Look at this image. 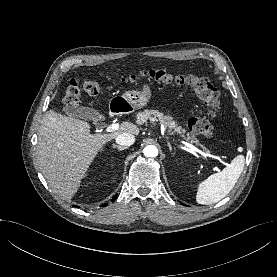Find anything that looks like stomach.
I'll use <instances>...</instances> for the list:
<instances>
[{"label": "stomach", "instance_id": "1", "mask_svg": "<svg viewBox=\"0 0 277 277\" xmlns=\"http://www.w3.org/2000/svg\"><path fill=\"white\" fill-rule=\"evenodd\" d=\"M151 98V86L144 84L142 90L127 91L121 96H114L110 101V108L128 114L136 109L145 107Z\"/></svg>", "mask_w": 277, "mask_h": 277}]
</instances>
